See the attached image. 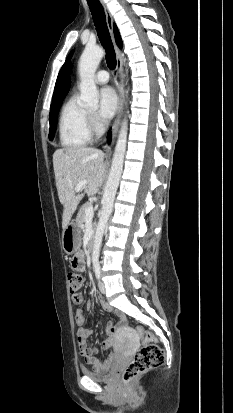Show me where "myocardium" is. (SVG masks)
<instances>
[{"label": "myocardium", "mask_w": 233, "mask_h": 413, "mask_svg": "<svg viewBox=\"0 0 233 413\" xmlns=\"http://www.w3.org/2000/svg\"><path fill=\"white\" fill-rule=\"evenodd\" d=\"M88 114H89V118H90L91 132H93V131H94V128H93V126L91 125V115H92V113H91V112H88Z\"/></svg>", "instance_id": "obj_1"}]
</instances>
